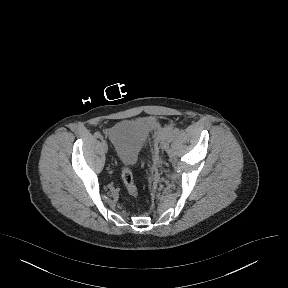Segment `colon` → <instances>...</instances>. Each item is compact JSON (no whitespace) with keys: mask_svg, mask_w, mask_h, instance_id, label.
<instances>
[{"mask_svg":"<svg viewBox=\"0 0 288 288\" xmlns=\"http://www.w3.org/2000/svg\"><path fill=\"white\" fill-rule=\"evenodd\" d=\"M121 176H122L123 183H124L128 193L133 197H137L138 196V189H137V186L135 184L132 171L128 168H124L122 170Z\"/></svg>","mask_w":288,"mask_h":288,"instance_id":"obj_1","label":"colon"}]
</instances>
